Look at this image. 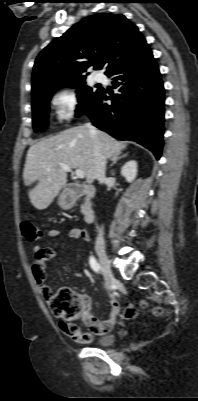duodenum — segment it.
Wrapping results in <instances>:
<instances>
[{"instance_id":"duodenum-1","label":"duodenum","mask_w":198,"mask_h":401,"mask_svg":"<svg viewBox=\"0 0 198 401\" xmlns=\"http://www.w3.org/2000/svg\"><path fill=\"white\" fill-rule=\"evenodd\" d=\"M94 195L95 189L89 185L72 184L68 187L67 204L73 205L77 199L85 198L83 219L86 224H92L96 218V212L92 205Z\"/></svg>"}]
</instances>
